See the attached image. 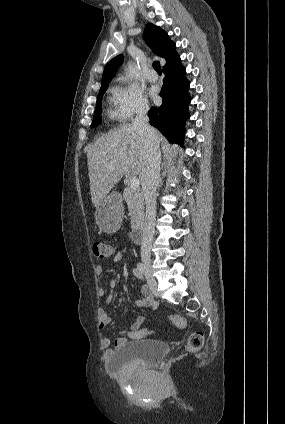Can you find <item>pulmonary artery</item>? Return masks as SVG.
Listing matches in <instances>:
<instances>
[{
    "instance_id": "obj_1",
    "label": "pulmonary artery",
    "mask_w": 285,
    "mask_h": 424,
    "mask_svg": "<svg viewBox=\"0 0 285 424\" xmlns=\"http://www.w3.org/2000/svg\"><path fill=\"white\" fill-rule=\"evenodd\" d=\"M146 78L151 81V82H155L158 79L157 74L155 73V71L153 70H149L146 74Z\"/></svg>"
}]
</instances>
